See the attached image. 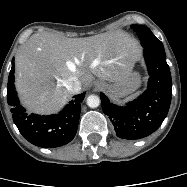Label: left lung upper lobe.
I'll list each match as a JSON object with an SVG mask.
<instances>
[{
  "label": "left lung upper lobe",
  "mask_w": 187,
  "mask_h": 187,
  "mask_svg": "<svg viewBox=\"0 0 187 187\" xmlns=\"http://www.w3.org/2000/svg\"><path fill=\"white\" fill-rule=\"evenodd\" d=\"M131 28L138 34L144 48L165 52L162 42L153 35L149 28L139 25H132Z\"/></svg>",
  "instance_id": "left-lung-upper-lobe-1"
}]
</instances>
